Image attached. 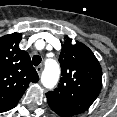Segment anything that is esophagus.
Instances as JSON below:
<instances>
[{
    "label": "esophagus",
    "mask_w": 117,
    "mask_h": 117,
    "mask_svg": "<svg viewBox=\"0 0 117 117\" xmlns=\"http://www.w3.org/2000/svg\"><path fill=\"white\" fill-rule=\"evenodd\" d=\"M42 70H43V67L41 65L36 67V71L39 75L41 74Z\"/></svg>",
    "instance_id": "obj_1"
}]
</instances>
